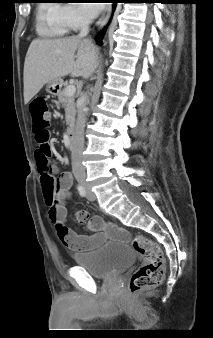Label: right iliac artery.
<instances>
[{"label": "right iliac artery", "mask_w": 213, "mask_h": 338, "mask_svg": "<svg viewBox=\"0 0 213 338\" xmlns=\"http://www.w3.org/2000/svg\"><path fill=\"white\" fill-rule=\"evenodd\" d=\"M77 190H78L80 196L84 197L86 195V190L81 185L77 186Z\"/></svg>", "instance_id": "1"}]
</instances>
